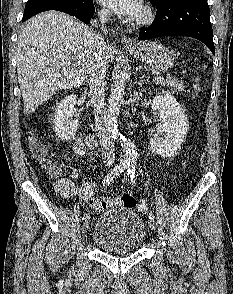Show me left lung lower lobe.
Instances as JSON below:
<instances>
[{
    "instance_id": "obj_1",
    "label": "left lung lower lobe",
    "mask_w": 233,
    "mask_h": 294,
    "mask_svg": "<svg viewBox=\"0 0 233 294\" xmlns=\"http://www.w3.org/2000/svg\"><path fill=\"white\" fill-rule=\"evenodd\" d=\"M153 23L140 29L139 40L188 36L202 41L214 54L213 30L207 0H159Z\"/></svg>"
}]
</instances>
